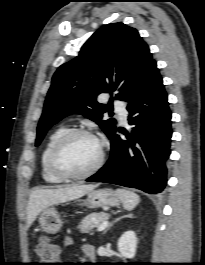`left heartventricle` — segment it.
I'll return each mask as SVG.
<instances>
[{
	"label": "left heart ventricle",
	"mask_w": 205,
	"mask_h": 265,
	"mask_svg": "<svg viewBox=\"0 0 205 265\" xmlns=\"http://www.w3.org/2000/svg\"><path fill=\"white\" fill-rule=\"evenodd\" d=\"M99 153V145L93 138L76 136L61 149L57 164L67 173H83L96 163Z\"/></svg>",
	"instance_id": "b2bd125f"
}]
</instances>
